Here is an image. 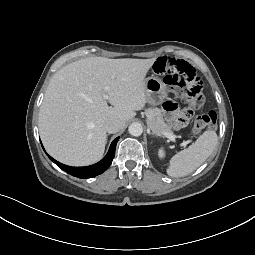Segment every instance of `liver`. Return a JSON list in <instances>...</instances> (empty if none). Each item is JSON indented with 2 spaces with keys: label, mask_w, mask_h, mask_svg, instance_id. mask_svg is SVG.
<instances>
[{
  "label": "liver",
  "mask_w": 255,
  "mask_h": 255,
  "mask_svg": "<svg viewBox=\"0 0 255 255\" xmlns=\"http://www.w3.org/2000/svg\"><path fill=\"white\" fill-rule=\"evenodd\" d=\"M155 61L92 57L56 72L39 113L46 151L71 166L99 161L107 141L105 121L116 118L125 125L144 108L145 77Z\"/></svg>",
  "instance_id": "1"
}]
</instances>
